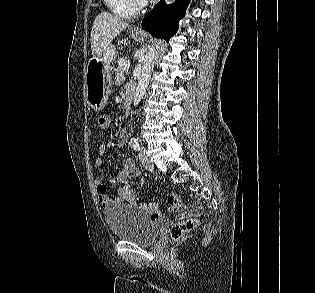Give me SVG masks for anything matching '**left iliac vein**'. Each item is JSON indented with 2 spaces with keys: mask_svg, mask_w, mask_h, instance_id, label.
Returning a JSON list of instances; mask_svg holds the SVG:
<instances>
[{
  "mask_svg": "<svg viewBox=\"0 0 315 293\" xmlns=\"http://www.w3.org/2000/svg\"><path fill=\"white\" fill-rule=\"evenodd\" d=\"M139 159L142 165L148 169V170H153L154 169V164L151 162L147 150L145 147H141L139 150Z\"/></svg>",
  "mask_w": 315,
  "mask_h": 293,
  "instance_id": "obj_1",
  "label": "left iliac vein"
}]
</instances>
